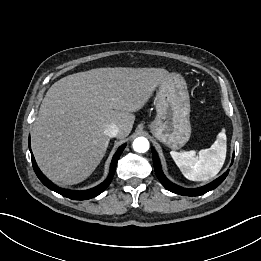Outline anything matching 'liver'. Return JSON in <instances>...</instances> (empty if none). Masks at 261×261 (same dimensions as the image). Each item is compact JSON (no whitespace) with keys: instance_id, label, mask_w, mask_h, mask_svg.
Instances as JSON below:
<instances>
[{"instance_id":"liver-1","label":"liver","mask_w":261,"mask_h":261,"mask_svg":"<svg viewBox=\"0 0 261 261\" xmlns=\"http://www.w3.org/2000/svg\"><path fill=\"white\" fill-rule=\"evenodd\" d=\"M171 74L163 68H96L68 75L47 91L33 124L32 150L41 171L54 183L84 181L106 154L119 127L126 138L153 91Z\"/></svg>"}]
</instances>
